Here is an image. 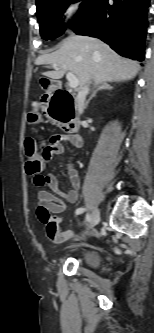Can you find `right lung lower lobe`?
Returning a JSON list of instances; mask_svg holds the SVG:
<instances>
[{
    "mask_svg": "<svg viewBox=\"0 0 154 333\" xmlns=\"http://www.w3.org/2000/svg\"><path fill=\"white\" fill-rule=\"evenodd\" d=\"M96 0L76 34L97 37L124 57L142 61L150 0Z\"/></svg>",
    "mask_w": 154,
    "mask_h": 333,
    "instance_id": "right-lung-lower-lobe-1",
    "label": "right lung lower lobe"
}]
</instances>
